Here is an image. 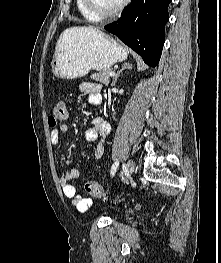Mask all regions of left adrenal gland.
Instances as JSON below:
<instances>
[{"label":"left adrenal gland","instance_id":"a2214340","mask_svg":"<svg viewBox=\"0 0 221 263\" xmlns=\"http://www.w3.org/2000/svg\"><path fill=\"white\" fill-rule=\"evenodd\" d=\"M131 67H132V65L127 64V63H124V64L122 65L121 69H120V70L117 72V74L115 75V77H114V79H113V81H112L111 86H114V85H115L118 77L120 76V74H121L124 70L130 69Z\"/></svg>","mask_w":221,"mask_h":263}]
</instances>
